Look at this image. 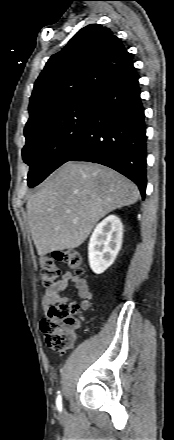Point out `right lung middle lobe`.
<instances>
[{
    "instance_id": "1",
    "label": "right lung middle lobe",
    "mask_w": 174,
    "mask_h": 440,
    "mask_svg": "<svg viewBox=\"0 0 174 440\" xmlns=\"http://www.w3.org/2000/svg\"><path fill=\"white\" fill-rule=\"evenodd\" d=\"M93 106L94 97L90 94L25 128L22 156L30 167L29 187L38 185L66 162L86 132Z\"/></svg>"
}]
</instances>
